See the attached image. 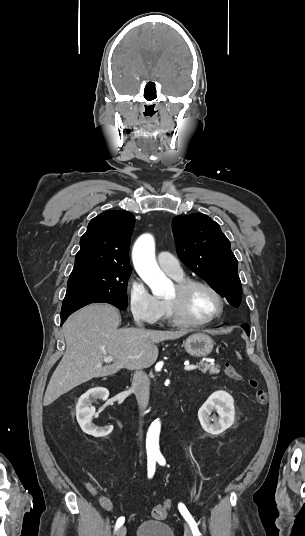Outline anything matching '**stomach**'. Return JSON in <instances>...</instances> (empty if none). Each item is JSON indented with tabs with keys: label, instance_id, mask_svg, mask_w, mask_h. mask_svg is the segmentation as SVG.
I'll list each match as a JSON object with an SVG mask.
<instances>
[{
	"label": "stomach",
	"instance_id": "1",
	"mask_svg": "<svg viewBox=\"0 0 305 536\" xmlns=\"http://www.w3.org/2000/svg\"><path fill=\"white\" fill-rule=\"evenodd\" d=\"M213 340L207 334H193L184 342V348L187 354L195 358H205L213 350Z\"/></svg>",
	"mask_w": 305,
	"mask_h": 536
}]
</instances>
